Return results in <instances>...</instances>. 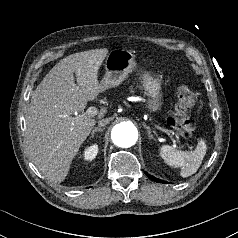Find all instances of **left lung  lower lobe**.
I'll return each instance as SVG.
<instances>
[{
    "instance_id": "1",
    "label": "left lung lower lobe",
    "mask_w": 238,
    "mask_h": 238,
    "mask_svg": "<svg viewBox=\"0 0 238 238\" xmlns=\"http://www.w3.org/2000/svg\"><path fill=\"white\" fill-rule=\"evenodd\" d=\"M146 174H147V176H148L150 179H152L153 181L158 182V183H164V181H162V180H160V179H157V178H155V177L149 175L148 173H146Z\"/></svg>"
}]
</instances>
